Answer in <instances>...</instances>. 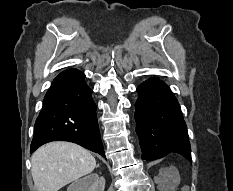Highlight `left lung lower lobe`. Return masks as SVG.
<instances>
[{"label": "left lung lower lobe", "mask_w": 233, "mask_h": 191, "mask_svg": "<svg viewBox=\"0 0 233 191\" xmlns=\"http://www.w3.org/2000/svg\"><path fill=\"white\" fill-rule=\"evenodd\" d=\"M137 91L135 121L141 158L152 161L179 154L191 162L186 124L169 87L161 80L151 78L140 84Z\"/></svg>", "instance_id": "obj_1"}]
</instances>
